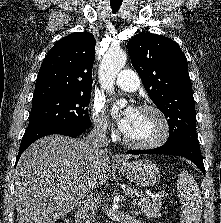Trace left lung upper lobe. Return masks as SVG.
Masks as SVG:
<instances>
[{"label": "left lung upper lobe", "instance_id": "left-lung-upper-lobe-1", "mask_svg": "<svg viewBox=\"0 0 221 223\" xmlns=\"http://www.w3.org/2000/svg\"><path fill=\"white\" fill-rule=\"evenodd\" d=\"M127 49L149 97L168 118L167 142L197 137L187 58L178 44L165 36L139 33Z\"/></svg>", "mask_w": 221, "mask_h": 223}]
</instances>
